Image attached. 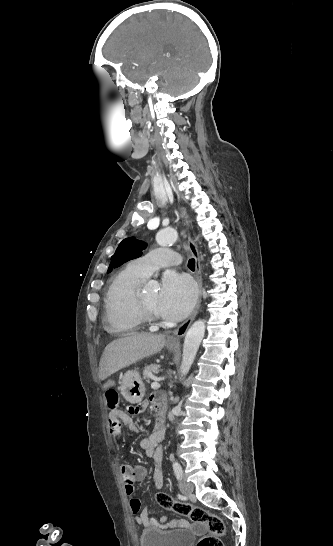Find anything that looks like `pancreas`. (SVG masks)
Returning a JSON list of instances; mask_svg holds the SVG:
<instances>
[{"instance_id":"1","label":"pancreas","mask_w":333,"mask_h":546,"mask_svg":"<svg viewBox=\"0 0 333 546\" xmlns=\"http://www.w3.org/2000/svg\"><path fill=\"white\" fill-rule=\"evenodd\" d=\"M159 368H160V366L156 365V364L146 366L144 371H143L144 378L146 380H149L153 374H158L159 373V371H160Z\"/></svg>"}]
</instances>
